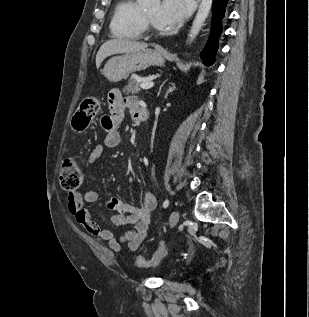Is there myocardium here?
<instances>
[{"mask_svg":"<svg viewBox=\"0 0 309 317\" xmlns=\"http://www.w3.org/2000/svg\"><path fill=\"white\" fill-rule=\"evenodd\" d=\"M142 20L144 27L151 33H157V30L153 23L149 20V18L145 15V13H142Z\"/></svg>","mask_w":309,"mask_h":317,"instance_id":"f54148a6","label":"myocardium"}]
</instances>
